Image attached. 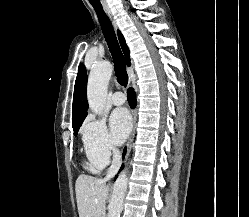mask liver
<instances>
[{
  "label": "liver",
  "instance_id": "obj_1",
  "mask_svg": "<svg viewBox=\"0 0 249 217\" xmlns=\"http://www.w3.org/2000/svg\"><path fill=\"white\" fill-rule=\"evenodd\" d=\"M79 217H103L109 192L106 181L81 174L75 184Z\"/></svg>",
  "mask_w": 249,
  "mask_h": 217
}]
</instances>
